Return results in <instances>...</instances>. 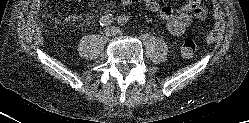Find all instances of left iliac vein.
<instances>
[{
    "label": "left iliac vein",
    "instance_id": "left-iliac-vein-1",
    "mask_svg": "<svg viewBox=\"0 0 249 123\" xmlns=\"http://www.w3.org/2000/svg\"><path fill=\"white\" fill-rule=\"evenodd\" d=\"M115 30V34H118V33H120V30L119 29H114Z\"/></svg>",
    "mask_w": 249,
    "mask_h": 123
}]
</instances>
